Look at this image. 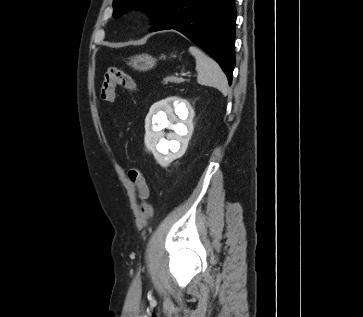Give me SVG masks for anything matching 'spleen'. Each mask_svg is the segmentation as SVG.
I'll return each mask as SVG.
<instances>
[{"mask_svg": "<svg viewBox=\"0 0 363 317\" xmlns=\"http://www.w3.org/2000/svg\"><path fill=\"white\" fill-rule=\"evenodd\" d=\"M189 51L196 59L197 82L201 85L215 87L223 95H227L228 81L219 64L195 46H190Z\"/></svg>", "mask_w": 363, "mask_h": 317, "instance_id": "3e777b00", "label": "spleen"}]
</instances>
